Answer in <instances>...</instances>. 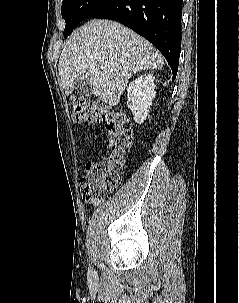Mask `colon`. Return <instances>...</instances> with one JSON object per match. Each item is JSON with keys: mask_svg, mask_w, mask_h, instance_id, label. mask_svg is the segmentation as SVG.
<instances>
[{"mask_svg": "<svg viewBox=\"0 0 239 303\" xmlns=\"http://www.w3.org/2000/svg\"><path fill=\"white\" fill-rule=\"evenodd\" d=\"M73 120L87 124L104 123L111 153L97 161L87 162L80 179V193L87 204H99L120 184L132 144L129 119L98 101L82 96L72 98Z\"/></svg>", "mask_w": 239, "mask_h": 303, "instance_id": "1", "label": "colon"}]
</instances>
